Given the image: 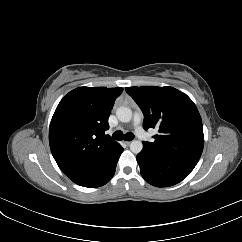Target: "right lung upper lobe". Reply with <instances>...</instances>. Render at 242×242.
I'll return each instance as SVG.
<instances>
[{
    "instance_id": "right-lung-upper-lobe-1",
    "label": "right lung upper lobe",
    "mask_w": 242,
    "mask_h": 242,
    "mask_svg": "<svg viewBox=\"0 0 242 242\" xmlns=\"http://www.w3.org/2000/svg\"><path fill=\"white\" fill-rule=\"evenodd\" d=\"M122 88L78 87L58 104L49 128L52 155L70 176L95 156L117 144L105 131L115 99Z\"/></svg>"
}]
</instances>
